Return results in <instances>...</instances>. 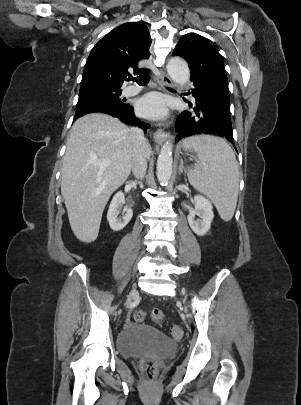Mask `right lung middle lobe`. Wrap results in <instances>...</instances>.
I'll use <instances>...</instances> for the list:
<instances>
[{"mask_svg": "<svg viewBox=\"0 0 301 405\" xmlns=\"http://www.w3.org/2000/svg\"><path fill=\"white\" fill-rule=\"evenodd\" d=\"M121 92L120 89L106 87L80 90L75 115L81 116L103 108H126L129 105L119 98Z\"/></svg>", "mask_w": 301, "mask_h": 405, "instance_id": "dd1d6c3e", "label": "right lung middle lobe"}]
</instances>
